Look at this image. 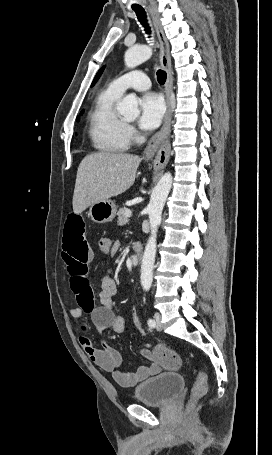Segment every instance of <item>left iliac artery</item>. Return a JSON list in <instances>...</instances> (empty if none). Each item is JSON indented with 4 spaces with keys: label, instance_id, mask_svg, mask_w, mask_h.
<instances>
[{
    "label": "left iliac artery",
    "instance_id": "left-iliac-artery-1",
    "mask_svg": "<svg viewBox=\"0 0 272 455\" xmlns=\"http://www.w3.org/2000/svg\"><path fill=\"white\" fill-rule=\"evenodd\" d=\"M148 323V326L151 327V328H154L155 327V321L151 318L148 319L147 321Z\"/></svg>",
    "mask_w": 272,
    "mask_h": 455
}]
</instances>
